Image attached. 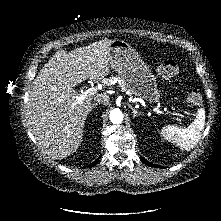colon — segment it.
Listing matches in <instances>:
<instances>
[{
	"label": "colon",
	"instance_id": "1",
	"mask_svg": "<svg viewBox=\"0 0 221 221\" xmlns=\"http://www.w3.org/2000/svg\"><path fill=\"white\" fill-rule=\"evenodd\" d=\"M157 72L164 79H171L177 76L180 72V65L176 60H167L161 63ZM203 102V96L198 89L192 90L187 96V103L191 106H199Z\"/></svg>",
	"mask_w": 221,
	"mask_h": 221
}]
</instances>
